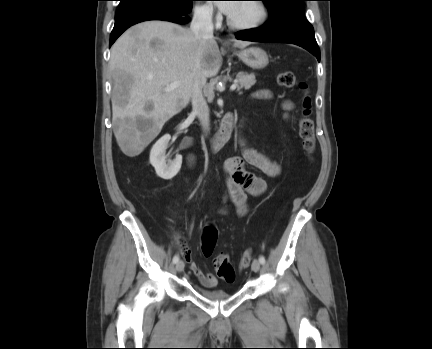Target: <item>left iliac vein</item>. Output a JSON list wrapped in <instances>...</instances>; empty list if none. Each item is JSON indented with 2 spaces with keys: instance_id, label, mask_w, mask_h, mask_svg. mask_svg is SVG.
Returning <instances> with one entry per match:
<instances>
[{
  "instance_id": "4c4485c4",
  "label": "left iliac vein",
  "mask_w": 432,
  "mask_h": 349,
  "mask_svg": "<svg viewBox=\"0 0 432 349\" xmlns=\"http://www.w3.org/2000/svg\"><path fill=\"white\" fill-rule=\"evenodd\" d=\"M260 266H261L260 262L257 259H255L252 263V270L254 272H258L260 270Z\"/></svg>"
}]
</instances>
